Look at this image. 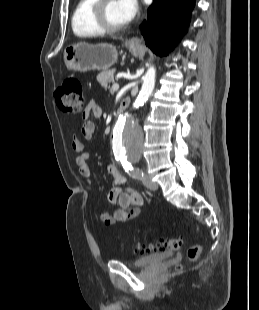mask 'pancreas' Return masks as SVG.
<instances>
[{
    "label": "pancreas",
    "instance_id": "cf45deb5",
    "mask_svg": "<svg viewBox=\"0 0 259 310\" xmlns=\"http://www.w3.org/2000/svg\"><path fill=\"white\" fill-rule=\"evenodd\" d=\"M114 73H115V70H108V71L101 72L97 76V81L100 83V85L104 89H107L108 84L114 81Z\"/></svg>",
    "mask_w": 259,
    "mask_h": 310
}]
</instances>
